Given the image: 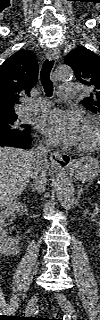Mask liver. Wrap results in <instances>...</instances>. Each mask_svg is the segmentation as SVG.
Instances as JSON below:
<instances>
[{
  "mask_svg": "<svg viewBox=\"0 0 100 320\" xmlns=\"http://www.w3.org/2000/svg\"><path fill=\"white\" fill-rule=\"evenodd\" d=\"M35 168V159L31 151L12 147L0 148L1 207L7 206L22 194L33 177Z\"/></svg>",
  "mask_w": 100,
  "mask_h": 320,
  "instance_id": "6515ba94",
  "label": "liver"
}]
</instances>
